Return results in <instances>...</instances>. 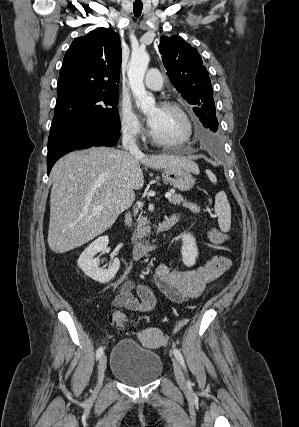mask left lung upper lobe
<instances>
[{"label":"left lung upper lobe","instance_id":"obj_1","mask_svg":"<svg viewBox=\"0 0 299 427\" xmlns=\"http://www.w3.org/2000/svg\"><path fill=\"white\" fill-rule=\"evenodd\" d=\"M159 50L176 90L194 106L193 110L205 128L217 132L213 89L198 51L177 36H161Z\"/></svg>","mask_w":299,"mask_h":427}]
</instances>
